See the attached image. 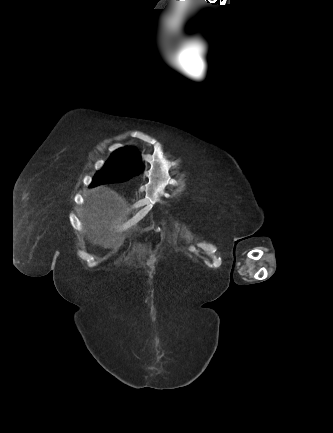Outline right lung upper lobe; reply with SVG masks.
<instances>
[{"label":"right lung upper lobe","instance_id":"obj_1","mask_svg":"<svg viewBox=\"0 0 333 433\" xmlns=\"http://www.w3.org/2000/svg\"><path fill=\"white\" fill-rule=\"evenodd\" d=\"M111 157L116 159H129L142 165L138 151L132 147L120 148L116 150Z\"/></svg>","mask_w":333,"mask_h":433}]
</instances>
